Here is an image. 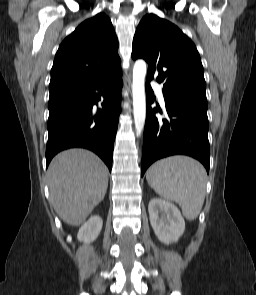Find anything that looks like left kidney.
<instances>
[{
	"mask_svg": "<svg viewBox=\"0 0 256 295\" xmlns=\"http://www.w3.org/2000/svg\"><path fill=\"white\" fill-rule=\"evenodd\" d=\"M151 226L164 244L177 242L185 231V221L179 209L171 202L153 198L148 205Z\"/></svg>",
	"mask_w": 256,
	"mask_h": 295,
	"instance_id": "1",
	"label": "left kidney"
}]
</instances>
